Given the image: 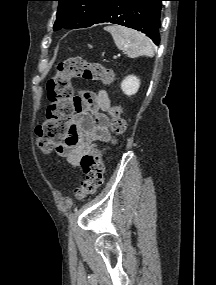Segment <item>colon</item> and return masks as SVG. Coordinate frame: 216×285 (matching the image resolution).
Wrapping results in <instances>:
<instances>
[{
	"label": "colon",
	"mask_w": 216,
	"mask_h": 285,
	"mask_svg": "<svg viewBox=\"0 0 216 285\" xmlns=\"http://www.w3.org/2000/svg\"><path fill=\"white\" fill-rule=\"evenodd\" d=\"M73 78L111 84L114 73L101 64L90 63L81 57L69 58L58 64L55 75L47 83V97L50 102L47 120L36 129L37 144L44 152H51L58 147L69 132L77 109L71 83ZM121 112L119 106L110 109L111 130L115 136L125 131L126 125ZM80 164L86 178L74 189L77 200L93 195L103 184L102 152L96 150L84 155Z\"/></svg>",
	"instance_id": "1"
}]
</instances>
